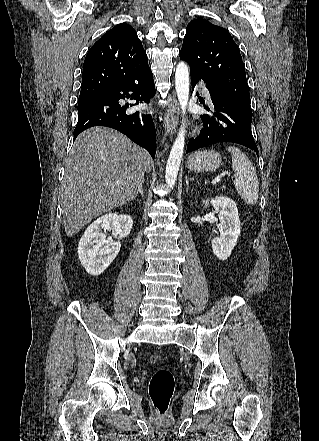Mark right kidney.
I'll return each instance as SVG.
<instances>
[{
  "label": "right kidney",
  "mask_w": 319,
  "mask_h": 441,
  "mask_svg": "<svg viewBox=\"0 0 319 441\" xmlns=\"http://www.w3.org/2000/svg\"><path fill=\"white\" fill-rule=\"evenodd\" d=\"M132 225L131 216L109 213L87 227L78 244L79 260L87 273L97 276L113 262L120 251V240L129 235ZM109 230L119 239L107 240L105 232Z\"/></svg>",
  "instance_id": "obj_1"
}]
</instances>
